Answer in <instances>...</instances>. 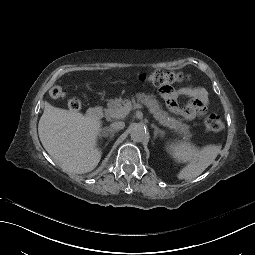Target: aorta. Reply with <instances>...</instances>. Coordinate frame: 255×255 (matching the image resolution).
<instances>
[{
  "label": "aorta",
  "instance_id": "1",
  "mask_svg": "<svg viewBox=\"0 0 255 255\" xmlns=\"http://www.w3.org/2000/svg\"><path fill=\"white\" fill-rule=\"evenodd\" d=\"M130 136L134 142H142L147 136L145 127L139 124L135 125L130 132Z\"/></svg>",
  "mask_w": 255,
  "mask_h": 255
}]
</instances>
